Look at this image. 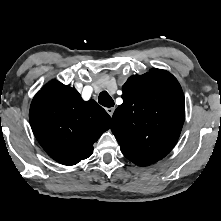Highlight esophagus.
Listing matches in <instances>:
<instances>
[{
	"mask_svg": "<svg viewBox=\"0 0 221 221\" xmlns=\"http://www.w3.org/2000/svg\"><path fill=\"white\" fill-rule=\"evenodd\" d=\"M106 111L110 116H112L115 111V107H108L106 108Z\"/></svg>",
	"mask_w": 221,
	"mask_h": 221,
	"instance_id": "1",
	"label": "esophagus"
}]
</instances>
